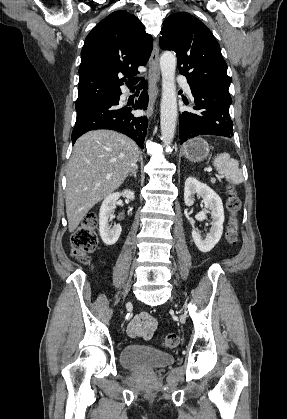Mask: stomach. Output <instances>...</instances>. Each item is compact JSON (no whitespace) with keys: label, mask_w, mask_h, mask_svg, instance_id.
<instances>
[{"label":"stomach","mask_w":287,"mask_h":419,"mask_svg":"<svg viewBox=\"0 0 287 419\" xmlns=\"http://www.w3.org/2000/svg\"><path fill=\"white\" fill-rule=\"evenodd\" d=\"M182 151L188 160L192 162H200L208 156L210 147L206 140L200 137H195L184 144Z\"/></svg>","instance_id":"obj_1"}]
</instances>
